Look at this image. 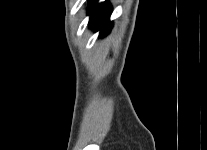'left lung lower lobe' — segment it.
Here are the masks:
<instances>
[{"mask_svg":"<svg viewBox=\"0 0 207 150\" xmlns=\"http://www.w3.org/2000/svg\"><path fill=\"white\" fill-rule=\"evenodd\" d=\"M97 1L91 0L88 8V14L90 15L89 25L95 31L100 30V36H102L108 34L111 30L112 23L109 21V17L112 13V8L107 1L98 5L96 4Z\"/></svg>","mask_w":207,"mask_h":150,"instance_id":"0a47b994","label":"left lung lower lobe"}]
</instances>
